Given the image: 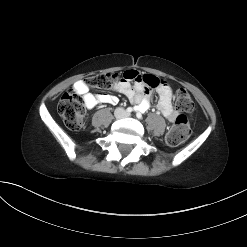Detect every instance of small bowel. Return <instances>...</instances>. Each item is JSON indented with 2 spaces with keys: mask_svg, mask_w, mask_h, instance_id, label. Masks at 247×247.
Masks as SVG:
<instances>
[{
  "mask_svg": "<svg viewBox=\"0 0 247 247\" xmlns=\"http://www.w3.org/2000/svg\"><path fill=\"white\" fill-rule=\"evenodd\" d=\"M149 78L157 80V85L152 87L148 82ZM111 87L113 90L127 96L135 104V109L141 112H145L149 108L150 96L153 91H156L159 96L158 109L162 115L170 122H174L178 117L172 106V88L165 81L159 80L153 75L127 70L115 75L111 82ZM73 90L81 96L88 109H92L101 103L116 104L118 102V97L115 95L90 93L87 84L83 80L75 82Z\"/></svg>",
  "mask_w": 247,
  "mask_h": 247,
  "instance_id": "c3829d8e",
  "label": "small bowel"
}]
</instances>
